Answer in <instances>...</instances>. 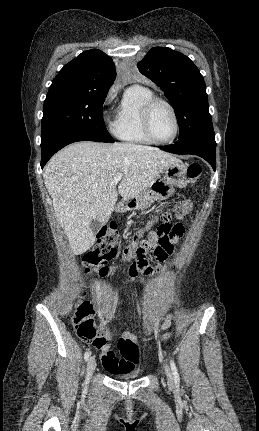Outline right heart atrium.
Masks as SVG:
<instances>
[{
    "label": "right heart atrium",
    "instance_id": "right-heart-atrium-1",
    "mask_svg": "<svg viewBox=\"0 0 259 431\" xmlns=\"http://www.w3.org/2000/svg\"><path fill=\"white\" fill-rule=\"evenodd\" d=\"M116 93H117V88H116V87H112V88L108 91V93H107V95H106V97H105V100H104V107H106V108H107V107L111 104V102L113 101V99H114V97H115ZM105 120H106L107 122L111 123V117H110V115H109L108 111H105Z\"/></svg>",
    "mask_w": 259,
    "mask_h": 431
}]
</instances>
